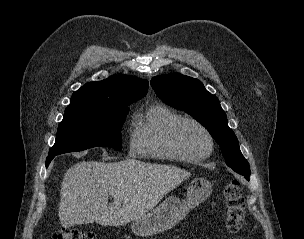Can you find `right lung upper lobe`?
Instances as JSON below:
<instances>
[{"label":"right lung upper lobe","instance_id":"right-lung-upper-lobe-1","mask_svg":"<svg viewBox=\"0 0 304 239\" xmlns=\"http://www.w3.org/2000/svg\"><path fill=\"white\" fill-rule=\"evenodd\" d=\"M148 81L121 75L89 82L74 92L65 113L77 111L115 110L129 105L146 95Z\"/></svg>","mask_w":304,"mask_h":239}]
</instances>
